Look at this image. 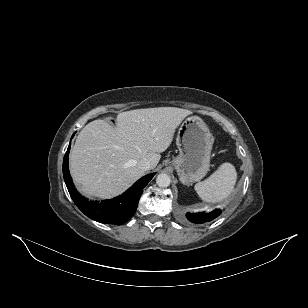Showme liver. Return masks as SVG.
Returning a JSON list of instances; mask_svg holds the SVG:
<instances>
[{
  "mask_svg": "<svg viewBox=\"0 0 308 308\" xmlns=\"http://www.w3.org/2000/svg\"><path fill=\"white\" fill-rule=\"evenodd\" d=\"M191 113L176 107L146 108L119 113L116 127L101 119L88 123L69 157L79 191L101 199L124 192L144 174L137 163L146 158L154 169L176 128Z\"/></svg>",
  "mask_w": 308,
  "mask_h": 308,
  "instance_id": "obj_1",
  "label": "liver"
}]
</instances>
